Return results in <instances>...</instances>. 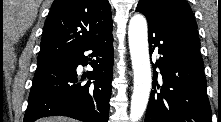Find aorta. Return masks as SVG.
Here are the masks:
<instances>
[{
  "label": "aorta",
  "instance_id": "762f6f07",
  "mask_svg": "<svg viewBox=\"0 0 221 122\" xmlns=\"http://www.w3.org/2000/svg\"><path fill=\"white\" fill-rule=\"evenodd\" d=\"M129 48L134 72V89L131 98L130 120L138 122L143 116L151 91L147 22L137 14L129 22Z\"/></svg>",
  "mask_w": 221,
  "mask_h": 122
}]
</instances>
